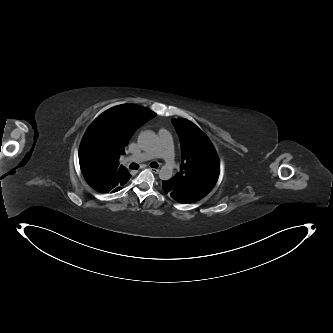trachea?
<instances>
[{"label":"trachea","mask_w":333,"mask_h":333,"mask_svg":"<svg viewBox=\"0 0 333 333\" xmlns=\"http://www.w3.org/2000/svg\"><path fill=\"white\" fill-rule=\"evenodd\" d=\"M158 163L157 162H152V163H150V167H153V168H158ZM129 168L130 169H138L139 168V165L138 164H136V163H131L130 165H129Z\"/></svg>","instance_id":"3493384b"}]
</instances>
